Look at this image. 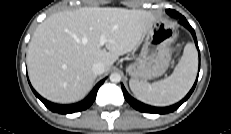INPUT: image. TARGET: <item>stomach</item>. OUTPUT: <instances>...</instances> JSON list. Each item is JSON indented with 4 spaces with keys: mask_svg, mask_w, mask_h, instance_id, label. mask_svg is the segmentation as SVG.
Returning a JSON list of instances; mask_svg holds the SVG:
<instances>
[{
    "mask_svg": "<svg viewBox=\"0 0 231 134\" xmlns=\"http://www.w3.org/2000/svg\"><path fill=\"white\" fill-rule=\"evenodd\" d=\"M176 28L169 22L153 21L145 32V42L139 57L126 68L133 80H148L162 76L169 67L171 44L177 38Z\"/></svg>",
    "mask_w": 231,
    "mask_h": 134,
    "instance_id": "obj_1",
    "label": "stomach"
}]
</instances>
